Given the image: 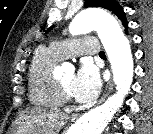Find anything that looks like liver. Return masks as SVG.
Instances as JSON below:
<instances>
[{"instance_id": "obj_1", "label": "liver", "mask_w": 153, "mask_h": 134, "mask_svg": "<svg viewBox=\"0 0 153 134\" xmlns=\"http://www.w3.org/2000/svg\"><path fill=\"white\" fill-rule=\"evenodd\" d=\"M66 120L57 111L31 109L20 114L18 134H56Z\"/></svg>"}]
</instances>
